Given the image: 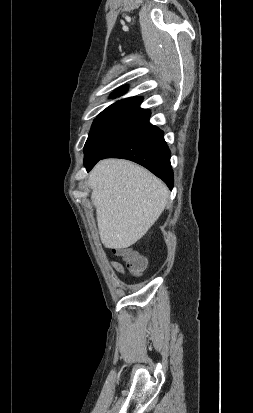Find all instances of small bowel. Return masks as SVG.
Listing matches in <instances>:
<instances>
[{
  "label": "small bowel",
  "instance_id": "small-bowel-1",
  "mask_svg": "<svg viewBox=\"0 0 253 413\" xmlns=\"http://www.w3.org/2000/svg\"><path fill=\"white\" fill-rule=\"evenodd\" d=\"M110 264H111L112 268H113L115 271H117V272L120 273V274H124V268H123V266H122L119 262L111 261Z\"/></svg>",
  "mask_w": 253,
  "mask_h": 413
}]
</instances>
